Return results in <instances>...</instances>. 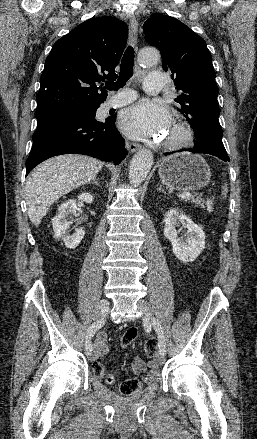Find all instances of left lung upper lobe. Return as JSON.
Wrapping results in <instances>:
<instances>
[{
    "instance_id": "left-lung-upper-lobe-1",
    "label": "left lung upper lobe",
    "mask_w": 257,
    "mask_h": 439,
    "mask_svg": "<svg viewBox=\"0 0 257 439\" xmlns=\"http://www.w3.org/2000/svg\"><path fill=\"white\" fill-rule=\"evenodd\" d=\"M145 40L157 47L162 66L171 72L179 96L175 101L194 129L195 146L225 149L218 117V87L212 56L203 38L176 18L154 14L144 23Z\"/></svg>"
}]
</instances>
